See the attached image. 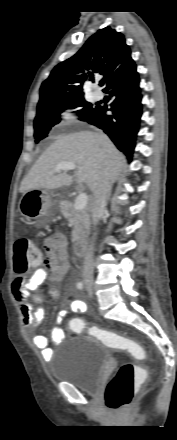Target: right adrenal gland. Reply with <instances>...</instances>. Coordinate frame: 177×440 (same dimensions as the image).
I'll return each instance as SVG.
<instances>
[{
	"label": "right adrenal gland",
	"mask_w": 177,
	"mask_h": 440,
	"mask_svg": "<svg viewBox=\"0 0 177 440\" xmlns=\"http://www.w3.org/2000/svg\"><path fill=\"white\" fill-rule=\"evenodd\" d=\"M114 183H115V179L112 180V181L110 182V185H109V193H108V199H109V197H110V195H111L112 186H113Z\"/></svg>",
	"instance_id": "right-adrenal-gland-1"
}]
</instances>
